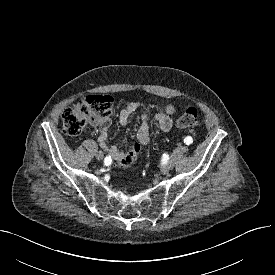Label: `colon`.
Returning a JSON list of instances; mask_svg holds the SVG:
<instances>
[{
    "mask_svg": "<svg viewBox=\"0 0 275 275\" xmlns=\"http://www.w3.org/2000/svg\"><path fill=\"white\" fill-rule=\"evenodd\" d=\"M113 107L112 98L94 95L80 100L62 113L63 130L66 135L78 136L89 122L98 124L109 121ZM178 127L190 128L200 125V111L195 107L188 108L178 119ZM140 147L136 146L130 156L121 162L120 167H126L136 158Z\"/></svg>",
    "mask_w": 275,
    "mask_h": 275,
    "instance_id": "colon-1",
    "label": "colon"
}]
</instances>
